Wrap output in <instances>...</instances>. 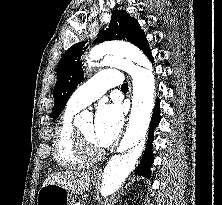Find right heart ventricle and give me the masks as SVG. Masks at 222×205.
I'll return each instance as SVG.
<instances>
[{
  "mask_svg": "<svg viewBox=\"0 0 222 205\" xmlns=\"http://www.w3.org/2000/svg\"><path fill=\"white\" fill-rule=\"evenodd\" d=\"M78 110L68 108L57 125L53 154L56 162L65 168H80L84 160L78 155L74 144L73 117Z\"/></svg>",
  "mask_w": 222,
  "mask_h": 205,
  "instance_id": "e07e8e85",
  "label": "right heart ventricle"
}]
</instances>
